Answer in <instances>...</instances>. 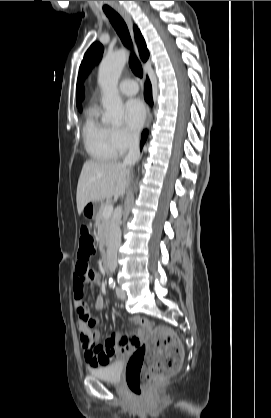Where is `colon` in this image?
I'll return each mask as SVG.
<instances>
[{"mask_svg":"<svg viewBox=\"0 0 271 418\" xmlns=\"http://www.w3.org/2000/svg\"><path fill=\"white\" fill-rule=\"evenodd\" d=\"M94 250L92 233L82 225L79 229V260H89ZM182 358V345L176 335L166 327L154 328L146 342L128 360V388L136 396L143 395L151 384L174 374L180 368Z\"/></svg>","mask_w":271,"mask_h":418,"instance_id":"5ec220e1","label":"colon"}]
</instances>
